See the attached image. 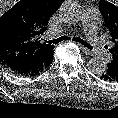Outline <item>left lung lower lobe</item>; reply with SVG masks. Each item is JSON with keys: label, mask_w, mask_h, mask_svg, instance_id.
I'll use <instances>...</instances> for the list:
<instances>
[{"label": "left lung lower lobe", "mask_w": 118, "mask_h": 118, "mask_svg": "<svg viewBox=\"0 0 118 118\" xmlns=\"http://www.w3.org/2000/svg\"><path fill=\"white\" fill-rule=\"evenodd\" d=\"M101 78L106 80V81H115V80H113L110 76H108L105 73L101 74Z\"/></svg>", "instance_id": "left-lung-lower-lobe-1"}]
</instances>
